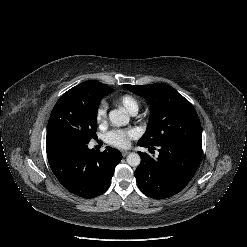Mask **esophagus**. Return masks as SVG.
<instances>
[{
	"instance_id": "esophagus-1",
	"label": "esophagus",
	"mask_w": 247,
	"mask_h": 247,
	"mask_svg": "<svg viewBox=\"0 0 247 247\" xmlns=\"http://www.w3.org/2000/svg\"><path fill=\"white\" fill-rule=\"evenodd\" d=\"M130 152L129 151H122L123 157L127 156Z\"/></svg>"
}]
</instances>
